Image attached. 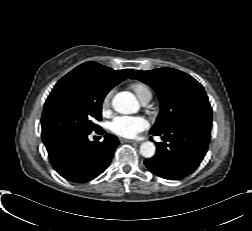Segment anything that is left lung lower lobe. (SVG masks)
I'll list each match as a JSON object with an SVG mask.
<instances>
[{
    "mask_svg": "<svg viewBox=\"0 0 252 231\" xmlns=\"http://www.w3.org/2000/svg\"><path fill=\"white\" fill-rule=\"evenodd\" d=\"M212 121L189 119L175 124L161 136L164 143H156L157 153L144 161L154 174L170 180L191 174L202 162L211 138Z\"/></svg>",
    "mask_w": 252,
    "mask_h": 231,
    "instance_id": "obj_1",
    "label": "left lung lower lobe"
}]
</instances>
